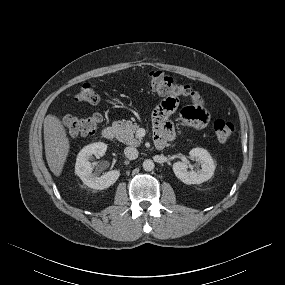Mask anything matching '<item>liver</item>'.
I'll return each mask as SVG.
<instances>
[{
	"mask_svg": "<svg viewBox=\"0 0 285 285\" xmlns=\"http://www.w3.org/2000/svg\"><path fill=\"white\" fill-rule=\"evenodd\" d=\"M45 155L48 166L55 176H60L66 162L70 142L60 119L49 114L44 119Z\"/></svg>",
	"mask_w": 285,
	"mask_h": 285,
	"instance_id": "6515ba94",
	"label": "liver"
}]
</instances>
